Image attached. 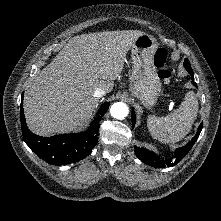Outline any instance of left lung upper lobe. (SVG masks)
Masks as SVG:
<instances>
[{"label": "left lung upper lobe", "instance_id": "left-lung-upper-lobe-1", "mask_svg": "<svg viewBox=\"0 0 221 221\" xmlns=\"http://www.w3.org/2000/svg\"><path fill=\"white\" fill-rule=\"evenodd\" d=\"M184 65H185V67L186 66H190V63H189V61L187 59H185Z\"/></svg>", "mask_w": 221, "mask_h": 221}]
</instances>
